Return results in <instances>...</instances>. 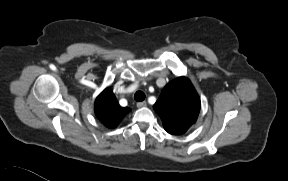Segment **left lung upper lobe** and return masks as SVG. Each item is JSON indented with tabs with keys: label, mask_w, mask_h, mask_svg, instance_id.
<instances>
[{
	"label": "left lung upper lobe",
	"mask_w": 288,
	"mask_h": 181,
	"mask_svg": "<svg viewBox=\"0 0 288 181\" xmlns=\"http://www.w3.org/2000/svg\"><path fill=\"white\" fill-rule=\"evenodd\" d=\"M200 107V98L186 77L169 82L153 106L165 130L173 135L185 133L195 123Z\"/></svg>",
	"instance_id": "left-lung-upper-lobe-1"
}]
</instances>
